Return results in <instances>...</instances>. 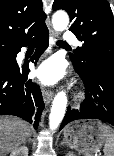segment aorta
I'll return each mask as SVG.
<instances>
[{
    "instance_id": "1",
    "label": "aorta",
    "mask_w": 114,
    "mask_h": 156,
    "mask_svg": "<svg viewBox=\"0 0 114 156\" xmlns=\"http://www.w3.org/2000/svg\"><path fill=\"white\" fill-rule=\"evenodd\" d=\"M69 23V17L65 11H56L52 17L53 28L58 31H64ZM67 106V96L64 91L57 93L54 97L51 113L49 116V127L51 130L57 129L61 123Z\"/></svg>"
}]
</instances>
